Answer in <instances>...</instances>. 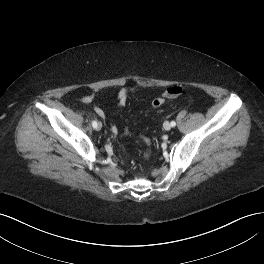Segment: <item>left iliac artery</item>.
I'll use <instances>...</instances> for the list:
<instances>
[{"label":"left iliac artery","instance_id":"obj_1","mask_svg":"<svg viewBox=\"0 0 264 264\" xmlns=\"http://www.w3.org/2000/svg\"><path fill=\"white\" fill-rule=\"evenodd\" d=\"M171 126H172V127L176 126V122H175V121H172V122H171Z\"/></svg>","mask_w":264,"mask_h":264}]
</instances>
